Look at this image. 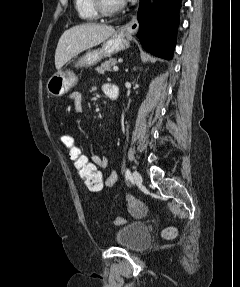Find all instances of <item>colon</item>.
Returning <instances> with one entry per match:
<instances>
[{"mask_svg": "<svg viewBox=\"0 0 240 287\" xmlns=\"http://www.w3.org/2000/svg\"><path fill=\"white\" fill-rule=\"evenodd\" d=\"M58 141L66 152L68 160L80 180L90 191H100L104 186V176L90 157L84 154L77 146L75 139L70 134L63 133L58 136ZM137 215L141 216L143 213L138 212ZM124 222L125 218L122 216H118L115 219V223L118 225ZM175 235L176 230L174 228H168L164 231V236L168 238H172Z\"/></svg>", "mask_w": 240, "mask_h": 287, "instance_id": "obj_1", "label": "colon"}]
</instances>
